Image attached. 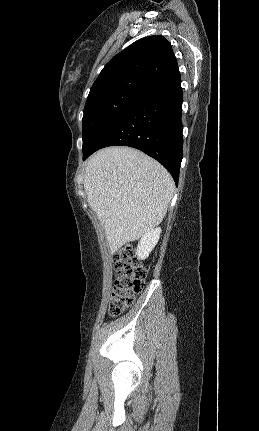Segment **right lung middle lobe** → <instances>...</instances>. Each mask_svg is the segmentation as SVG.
Instances as JSON below:
<instances>
[{
  "mask_svg": "<svg viewBox=\"0 0 259 431\" xmlns=\"http://www.w3.org/2000/svg\"><path fill=\"white\" fill-rule=\"evenodd\" d=\"M150 88L139 81L88 95L83 115V155L101 133Z\"/></svg>",
  "mask_w": 259,
  "mask_h": 431,
  "instance_id": "dd1d6c3e",
  "label": "right lung middle lobe"
}]
</instances>
